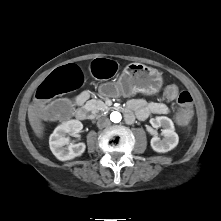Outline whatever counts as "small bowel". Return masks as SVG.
Masks as SVG:
<instances>
[{"label": "small bowel", "instance_id": "small-bowel-1", "mask_svg": "<svg viewBox=\"0 0 221 221\" xmlns=\"http://www.w3.org/2000/svg\"><path fill=\"white\" fill-rule=\"evenodd\" d=\"M89 98L90 92L83 91L73 99V102L75 105L81 106ZM128 110L130 112L133 111L139 120H145L153 114L164 115L169 112V108L166 104L162 102L146 101L144 99H131L128 102Z\"/></svg>", "mask_w": 221, "mask_h": 221}]
</instances>
